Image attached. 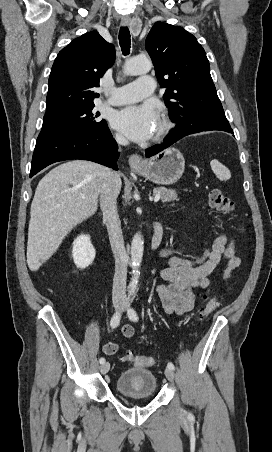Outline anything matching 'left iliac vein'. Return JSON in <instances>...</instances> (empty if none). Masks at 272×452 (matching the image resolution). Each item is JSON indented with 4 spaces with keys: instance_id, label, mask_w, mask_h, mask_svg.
Segmentation results:
<instances>
[{
    "instance_id": "left-iliac-vein-1",
    "label": "left iliac vein",
    "mask_w": 272,
    "mask_h": 452,
    "mask_svg": "<svg viewBox=\"0 0 272 452\" xmlns=\"http://www.w3.org/2000/svg\"><path fill=\"white\" fill-rule=\"evenodd\" d=\"M127 308H128V303H127V302H124V303H123L122 310L125 311ZM164 373H165L166 378H167L170 382H173V381H174V379H175V374H174V372H173L172 369H170V368L167 367V368H165Z\"/></svg>"
}]
</instances>
